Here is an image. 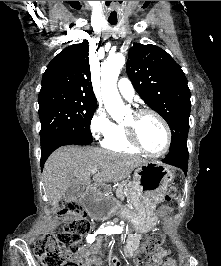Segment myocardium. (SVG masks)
Masks as SVG:
<instances>
[{"label": "myocardium", "instance_id": "obj_1", "mask_svg": "<svg viewBox=\"0 0 221 266\" xmlns=\"http://www.w3.org/2000/svg\"><path fill=\"white\" fill-rule=\"evenodd\" d=\"M133 117L135 120H138L139 118H141L144 115H152L154 116L163 126L164 131H165V144L164 147L157 152H151L149 150H147L140 142L138 135H137V129H136V122L131 123V124H124V128L126 130L127 133V137L128 140L130 141V143L140 152H142L143 154L149 156V157H153V158H158L161 157L163 155H165L171 145V130L170 127L168 125V123L166 122V120L156 111L152 110V109H148V108H143V109H138L135 110L133 113Z\"/></svg>", "mask_w": 221, "mask_h": 266}]
</instances>
